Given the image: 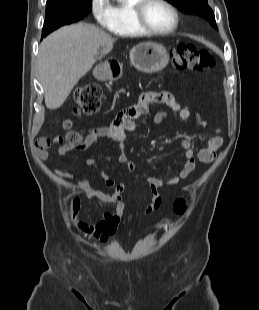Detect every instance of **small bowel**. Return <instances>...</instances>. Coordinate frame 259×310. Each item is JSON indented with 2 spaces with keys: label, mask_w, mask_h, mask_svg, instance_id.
Instances as JSON below:
<instances>
[{
  "label": "small bowel",
  "mask_w": 259,
  "mask_h": 310,
  "mask_svg": "<svg viewBox=\"0 0 259 310\" xmlns=\"http://www.w3.org/2000/svg\"><path fill=\"white\" fill-rule=\"evenodd\" d=\"M153 103L166 104L181 120H186L191 115L190 108L179 104L171 94L167 92H148L142 95L134 106L120 112L109 126L89 130L78 146L65 144L62 137H43L37 140L35 154L43 161H51L54 160L56 156H63L73 149L85 150L98 141L109 139L116 142L121 150L119 161L127 163L129 167L132 168V164L124 150V143L128 133L135 129L133 119L146 114ZM166 115L165 112L157 113L154 118L155 123L161 122ZM198 119L202 125L205 124L200 118ZM222 143L223 138L220 133H218L208 140L206 147L195 154L191 142L187 139L182 140L181 146L185 149V163L180 170L165 181L156 177L146 178L151 189L152 201L146 207L144 213L150 215L160 208L162 204L160 190L163 187L177 185L185 180L196 168V157L202 163H210L213 161ZM53 145H56L55 153L50 150ZM86 164L90 167H94L95 170L93 172L82 173L78 176V188L88 198L111 204L113 206V211L103 214L95 223L76 221L75 227L78 231L89 235L93 240L106 243L113 237L122 223L124 216L122 193L130 183L116 181L114 178L109 177L104 170L97 167L96 162L92 159H88ZM57 172L66 178H72L74 176L72 171L66 170L61 166L57 167ZM90 176L101 178L108 187H113L114 191L112 193H104L93 189L88 182Z\"/></svg>",
  "instance_id": "small-bowel-1"
}]
</instances>
